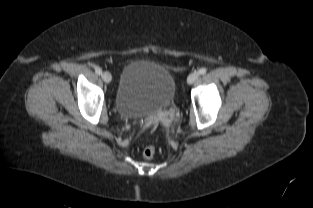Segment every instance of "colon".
I'll return each instance as SVG.
<instances>
[{
    "mask_svg": "<svg viewBox=\"0 0 313 208\" xmlns=\"http://www.w3.org/2000/svg\"><path fill=\"white\" fill-rule=\"evenodd\" d=\"M156 154V148L153 145H148L143 148L142 155L145 159H152Z\"/></svg>",
    "mask_w": 313,
    "mask_h": 208,
    "instance_id": "obj_1",
    "label": "colon"
}]
</instances>
